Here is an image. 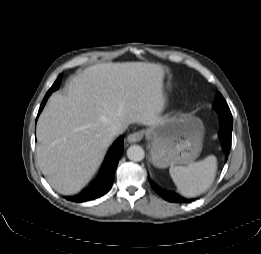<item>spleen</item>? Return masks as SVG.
Listing matches in <instances>:
<instances>
[{"label": "spleen", "mask_w": 261, "mask_h": 254, "mask_svg": "<svg viewBox=\"0 0 261 254\" xmlns=\"http://www.w3.org/2000/svg\"><path fill=\"white\" fill-rule=\"evenodd\" d=\"M217 170V159L210 155L187 166H171L169 173L179 193L186 197L198 196L211 186Z\"/></svg>", "instance_id": "spleen-1"}]
</instances>
